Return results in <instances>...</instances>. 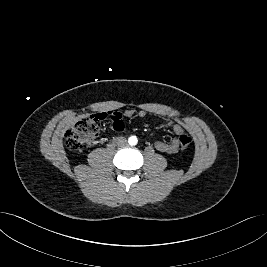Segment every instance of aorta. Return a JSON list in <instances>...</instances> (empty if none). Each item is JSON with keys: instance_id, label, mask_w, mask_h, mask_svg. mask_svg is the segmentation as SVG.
<instances>
[{"instance_id": "1", "label": "aorta", "mask_w": 267, "mask_h": 267, "mask_svg": "<svg viewBox=\"0 0 267 267\" xmlns=\"http://www.w3.org/2000/svg\"><path fill=\"white\" fill-rule=\"evenodd\" d=\"M137 142H138V140H137V137L136 136H131V137H129V139H128V143L130 144V145H136L137 144Z\"/></svg>"}]
</instances>
